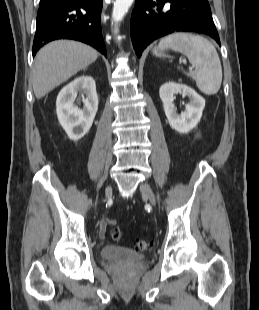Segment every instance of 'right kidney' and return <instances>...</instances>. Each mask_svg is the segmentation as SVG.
Here are the masks:
<instances>
[{"label":"right kidney","instance_id":"1","mask_svg":"<svg viewBox=\"0 0 259 310\" xmlns=\"http://www.w3.org/2000/svg\"><path fill=\"white\" fill-rule=\"evenodd\" d=\"M78 93L82 95L83 109L75 104ZM97 110L96 84L91 76L77 77L63 87L57 96V117L71 140L77 141L89 132Z\"/></svg>","mask_w":259,"mask_h":310}]
</instances>
